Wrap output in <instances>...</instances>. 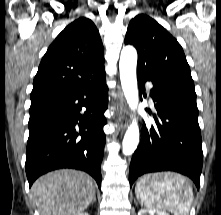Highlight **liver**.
Segmentation results:
<instances>
[{
    "mask_svg": "<svg viewBox=\"0 0 221 215\" xmlns=\"http://www.w3.org/2000/svg\"><path fill=\"white\" fill-rule=\"evenodd\" d=\"M40 215H76L95 197V185L85 172L62 169L37 179L31 188Z\"/></svg>",
    "mask_w": 221,
    "mask_h": 215,
    "instance_id": "obj_1",
    "label": "liver"
}]
</instances>
